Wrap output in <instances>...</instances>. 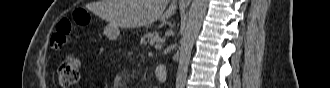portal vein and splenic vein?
Masks as SVG:
<instances>
[{
  "label": "portal vein and splenic vein",
  "instance_id": "18ae733b",
  "mask_svg": "<svg viewBox=\"0 0 330 88\" xmlns=\"http://www.w3.org/2000/svg\"><path fill=\"white\" fill-rule=\"evenodd\" d=\"M162 45H163V43L162 42H160V43H157V44H155V48L157 49V48H161L162 47Z\"/></svg>",
  "mask_w": 330,
  "mask_h": 88
}]
</instances>
